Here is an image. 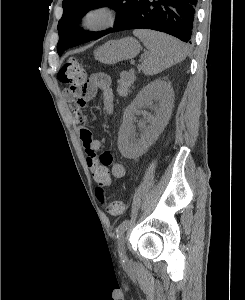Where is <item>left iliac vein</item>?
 <instances>
[{"label": "left iliac vein", "mask_w": 245, "mask_h": 300, "mask_svg": "<svg viewBox=\"0 0 245 300\" xmlns=\"http://www.w3.org/2000/svg\"><path fill=\"white\" fill-rule=\"evenodd\" d=\"M125 242H126V237L123 236L119 243V254L123 260H127Z\"/></svg>", "instance_id": "obj_1"}]
</instances>
